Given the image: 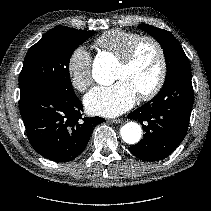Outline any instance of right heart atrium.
Masks as SVG:
<instances>
[{"mask_svg": "<svg viewBox=\"0 0 211 211\" xmlns=\"http://www.w3.org/2000/svg\"><path fill=\"white\" fill-rule=\"evenodd\" d=\"M67 73L71 85L78 91H86L93 83L92 59L85 46L73 49L67 60Z\"/></svg>", "mask_w": 211, "mask_h": 211, "instance_id": "1", "label": "right heart atrium"}]
</instances>
